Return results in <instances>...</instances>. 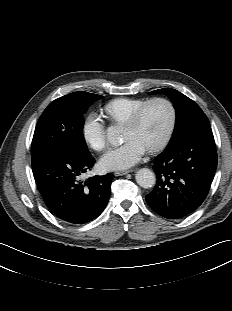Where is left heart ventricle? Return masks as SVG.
Listing matches in <instances>:
<instances>
[{
  "label": "left heart ventricle",
  "instance_id": "obj_1",
  "mask_svg": "<svg viewBox=\"0 0 232 311\" xmlns=\"http://www.w3.org/2000/svg\"><path fill=\"white\" fill-rule=\"evenodd\" d=\"M170 120L169 108L164 103L153 104L134 128H124L125 141L135 139L147 149L155 145L164 135Z\"/></svg>",
  "mask_w": 232,
  "mask_h": 311
}]
</instances>
